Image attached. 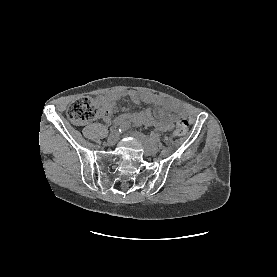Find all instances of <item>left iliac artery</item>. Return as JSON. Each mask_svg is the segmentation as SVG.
<instances>
[{"label": "left iliac artery", "instance_id": "left-iliac-artery-1", "mask_svg": "<svg viewBox=\"0 0 277 277\" xmlns=\"http://www.w3.org/2000/svg\"><path fill=\"white\" fill-rule=\"evenodd\" d=\"M150 137L153 141H156V142L160 141V135L158 133L151 132Z\"/></svg>", "mask_w": 277, "mask_h": 277}]
</instances>
